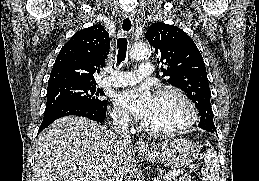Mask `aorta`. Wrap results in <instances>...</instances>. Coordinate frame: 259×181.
Listing matches in <instances>:
<instances>
[{
	"label": "aorta",
	"mask_w": 259,
	"mask_h": 181,
	"mask_svg": "<svg viewBox=\"0 0 259 181\" xmlns=\"http://www.w3.org/2000/svg\"><path fill=\"white\" fill-rule=\"evenodd\" d=\"M151 51L147 44L137 43L131 47L130 57L134 60H143L150 56Z\"/></svg>",
	"instance_id": "1"
}]
</instances>
